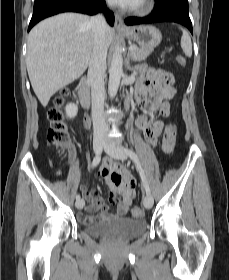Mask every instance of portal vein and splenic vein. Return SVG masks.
<instances>
[{
	"label": "portal vein and splenic vein",
	"instance_id": "18ae733b",
	"mask_svg": "<svg viewBox=\"0 0 229 280\" xmlns=\"http://www.w3.org/2000/svg\"><path fill=\"white\" fill-rule=\"evenodd\" d=\"M128 51H129L130 53H132V52L135 51V48H134L133 46H131V47H129ZM70 63H72V62H70Z\"/></svg>",
	"mask_w": 229,
	"mask_h": 280
}]
</instances>
